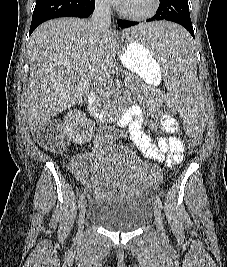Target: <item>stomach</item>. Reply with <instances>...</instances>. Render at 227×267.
I'll list each match as a JSON object with an SVG mask.
<instances>
[{
    "label": "stomach",
    "mask_w": 227,
    "mask_h": 267,
    "mask_svg": "<svg viewBox=\"0 0 227 267\" xmlns=\"http://www.w3.org/2000/svg\"><path fill=\"white\" fill-rule=\"evenodd\" d=\"M122 63L146 83L155 85L161 79L163 59H153L152 51L140 43H126Z\"/></svg>",
    "instance_id": "stomach-1"
}]
</instances>
